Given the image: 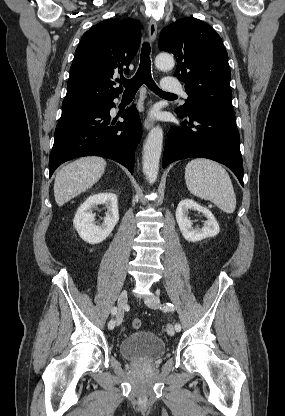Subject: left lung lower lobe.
Here are the masks:
<instances>
[{
  "label": "left lung lower lobe",
  "instance_id": "0a47b994",
  "mask_svg": "<svg viewBox=\"0 0 285 416\" xmlns=\"http://www.w3.org/2000/svg\"><path fill=\"white\" fill-rule=\"evenodd\" d=\"M187 116L189 121L185 120L181 126H173L169 131L163 168L185 158H208L226 165L243 186L240 136L233 111L199 109L189 112Z\"/></svg>",
  "mask_w": 285,
  "mask_h": 416
}]
</instances>
